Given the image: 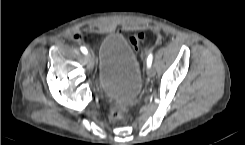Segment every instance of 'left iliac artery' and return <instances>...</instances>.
Listing matches in <instances>:
<instances>
[{
	"instance_id": "left-iliac-artery-1",
	"label": "left iliac artery",
	"mask_w": 245,
	"mask_h": 145,
	"mask_svg": "<svg viewBox=\"0 0 245 145\" xmlns=\"http://www.w3.org/2000/svg\"><path fill=\"white\" fill-rule=\"evenodd\" d=\"M152 59H153L152 54H149V56H148V58H147V66H151V64H152Z\"/></svg>"
}]
</instances>
